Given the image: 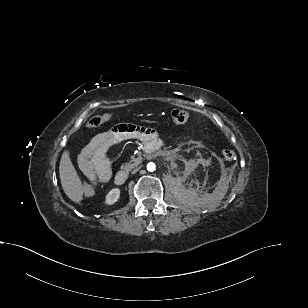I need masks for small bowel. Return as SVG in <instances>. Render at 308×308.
<instances>
[{
	"label": "small bowel",
	"instance_id": "small-bowel-1",
	"mask_svg": "<svg viewBox=\"0 0 308 308\" xmlns=\"http://www.w3.org/2000/svg\"><path fill=\"white\" fill-rule=\"evenodd\" d=\"M127 139L149 142L157 140V133L149 127L123 123L94 136L78 158L80 169L90 181L104 183L110 180L112 169L108 151L113 145Z\"/></svg>",
	"mask_w": 308,
	"mask_h": 308
}]
</instances>
